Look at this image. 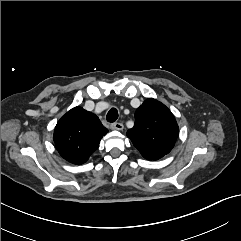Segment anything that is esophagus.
Returning a JSON list of instances; mask_svg holds the SVG:
<instances>
[{
	"instance_id": "1",
	"label": "esophagus",
	"mask_w": 241,
	"mask_h": 241,
	"mask_svg": "<svg viewBox=\"0 0 241 241\" xmlns=\"http://www.w3.org/2000/svg\"><path fill=\"white\" fill-rule=\"evenodd\" d=\"M110 128H111L112 130H119V131H121V130H123L124 126H123L122 123L115 122V123H112V124L110 125Z\"/></svg>"
}]
</instances>
